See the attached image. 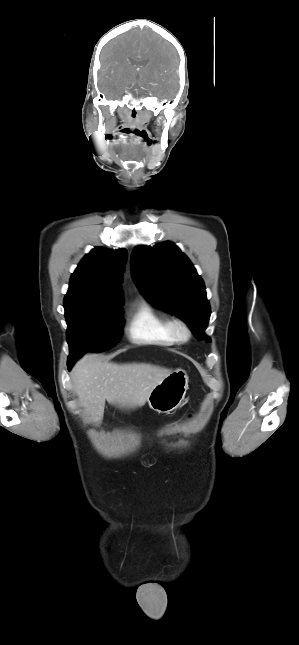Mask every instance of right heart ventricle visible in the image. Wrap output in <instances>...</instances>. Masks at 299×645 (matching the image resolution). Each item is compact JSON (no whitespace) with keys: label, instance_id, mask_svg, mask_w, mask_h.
Segmentation results:
<instances>
[{"label":"right heart ventricle","instance_id":"right-heart-ventricle-1","mask_svg":"<svg viewBox=\"0 0 299 645\" xmlns=\"http://www.w3.org/2000/svg\"><path fill=\"white\" fill-rule=\"evenodd\" d=\"M170 321L149 301L140 299L129 314L126 333L135 344L171 346L176 341L169 330Z\"/></svg>","mask_w":299,"mask_h":645}]
</instances>
